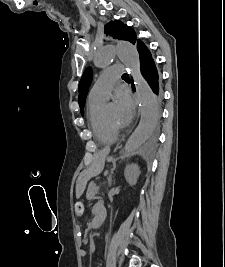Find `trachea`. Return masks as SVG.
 Returning a JSON list of instances; mask_svg holds the SVG:
<instances>
[{"label": "trachea", "instance_id": "3493384b", "mask_svg": "<svg viewBox=\"0 0 225 267\" xmlns=\"http://www.w3.org/2000/svg\"><path fill=\"white\" fill-rule=\"evenodd\" d=\"M122 77H129V75L128 74H123V76Z\"/></svg>", "mask_w": 225, "mask_h": 267}]
</instances>
